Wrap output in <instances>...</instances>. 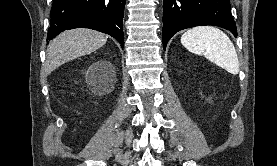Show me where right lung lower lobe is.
Masks as SVG:
<instances>
[{"instance_id":"obj_1","label":"right lung lower lobe","mask_w":277,"mask_h":166,"mask_svg":"<svg viewBox=\"0 0 277 166\" xmlns=\"http://www.w3.org/2000/svg\"><path fill=\"white\" fill-rule=\"evenodd\" d=\"M126 0H54L47 40L72 28H90L124 44L123 14Z\"/></svg>"}]
</instances>
